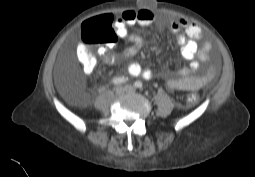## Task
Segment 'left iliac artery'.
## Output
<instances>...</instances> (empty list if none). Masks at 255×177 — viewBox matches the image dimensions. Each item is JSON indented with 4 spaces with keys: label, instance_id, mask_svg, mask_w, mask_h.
I'll list each match as a JSON object with an SVG mask.
<instances>
[{
    "label": "left iliac artery",
    "instance_id": "44dca946",
    "mask_svg": "<svg viewBox=\"0 0 255 177\" xmlns=\"http://www.w3.org/2000/svg\"><path fill=\"white\" fill-rule=\"evenodd\" d=\"M134 86H135L136 88L141 89V88L143 87V84H142V82H140V81H136V82L134 83Z\"/></svg>",
    "mask_w": 255,
    "mask_h": 177
}]
</instances>
